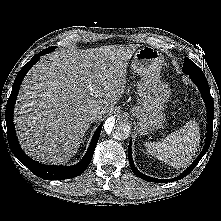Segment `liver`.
Masks as SVG:
<instances>
[{
    "label": "liver",
    "instance_id": "1",
    "mask_svg": "<svg viewBox=\"0 0 221 221\" xmlns=\"http://www.w3.org/2000/svg\"><path fill=\"white\" fill-rule=\"evenodd\" d=\"M139 44L55 52L25 77L15 105L22 148L33 159L63 164L78 151L94 112L123 96L128 62Z\"/></svg>",
    "mask_w": 221,
    "mask_h": 221
}]
</instances>
